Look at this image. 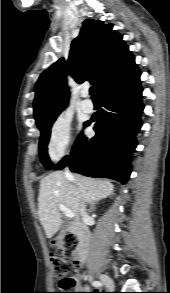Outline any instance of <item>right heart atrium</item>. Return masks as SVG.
<instances>
[{"mask_svg": "<svg viewBox=\"0 0 170 293\" xmlns=\"http://www.w3.org/2000/svg\"><path fill=\"white\" fill-rule=\"evenodd\" d=\"M70 125V119L62 114L54 120L47 142V152L51 160H59L72 146Z\"/></svg>", "mask_w": 170, "mask_h": 293, "instance_id": "right-heart-atrium-1", "label": "right heart atrium"}]
</instances>
